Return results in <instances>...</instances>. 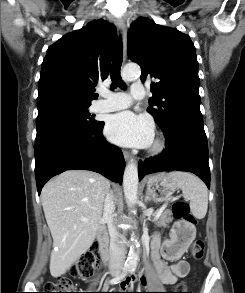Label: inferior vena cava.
I'll return each instance as SVG.
<instances>
[{
	"label": "inferior vena cava",
	"instance_id": "602c4592",
	"mask_svg": "<svg viewBox=\"0 0 245 293\" xmlns=\"http://www.w3.org/2000/svg\"><path fill=\"white\" fill-rule=\"evenodd\" d=\"M114 211L115 204L112 192L107 193L104 201L103 218L108 225V231L110 235L109 267L113 271H118L121 270L124 265L125 249L123 245L117 243L119 235L114 225Z\"/></svg>",
	"mask_w": 245,
	"mask_h": 293
}]
</instances>
